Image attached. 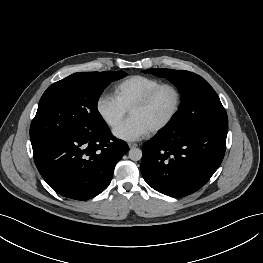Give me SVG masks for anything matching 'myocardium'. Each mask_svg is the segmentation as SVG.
<instances>
[{
    "instance_id": "obj_1",
    "label": "myocardium",
    "mask_w": 263,
    "mask_h": 263,
    "mask_svg": "<svg viewBox=\"0 0 263 263\" xmlns=\"http://www.w3.org/2000/svg\"><path fill=\"white\" fill-rule=\"evenodd\" d=\"M164 88H169L174 92L175 105L171 113L168 115V117L150 130V133L152 134L158 133L163 129H165L166 127H168L178 115L182 106V92L180 88L173 83H160L159 85L152 88L149 92H147L140 100L134 103L129 109V113H130L132 110L142 109L146 107L157 95V93Z\"/></svg>"
}]
</instances>
